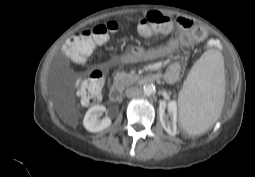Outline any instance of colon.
<instances>
[{"instance_id":"obj_1","label":"colon","mask_w":255,"mask_h":177,"mask_svg":"<svg viewBox=\"0 0 255 177\" xmlns=\"http://www.w3.org/2000/svg\"><path fill=\"white\" fill-rule=\"evenodd\" d=\"M171 19L160 11H148L138 23V31L143 36H153L167 32ZM119 30L116 22H107L78 32L71 36L63 46V53L72 60L84 61L91 56L96 45L106 42L108 34ZM104 74L93 70L89 76L77 83V93L85 104H97L102 95Z\"/></svg>"}]
</instances>
